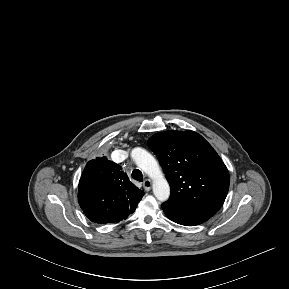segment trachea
Instances as JSON below:
<instances>
[{
	"label": "trachea",
	"mask_w": 289,
	"mask_h": 289,
	"mask_svg": "<svg viewBox=\"0 0 289 289\" xmlns=\"http://www.w3.org/2000/svg\"><path fill=\"white\" fill-rule=\"evenodd\" d=\"M132 178L139 181V182H142L143 181V174L139 169H134L132 171Z\"/></svg>",
	"instance_id": "obj_1"
}]
</instances>
